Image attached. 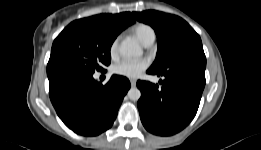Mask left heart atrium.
<instances>
[{"instance_id":"obj_1","label":"left heart atrium","mask_w":261,"mask_h":150,"mask_svg":"<svg viewBox=\"0 0 261 150\" xmlns=\"http://www.w3.org/2000/svg\"><path fill=\"white\" fill-rule=\"evenodd\" d=\"M148 66L149 62L146 59L123 60L114 66V72L128 78H137L148 68Z\"/></svg>"}]
</instances>
